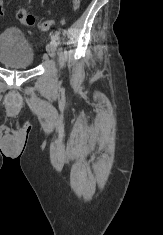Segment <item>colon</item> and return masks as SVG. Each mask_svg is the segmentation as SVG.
<instances>
[{
	"instance_id": "5ec220e1",
	"label": "colon",
	"mask_w": 163,
	"mask_h": 235,
	"mask_svg": "<svg viewBox=\"0 0 163 235\" xmlns=\"http://www.w3.org/2000/svg\"><path fill=\"white\" fill-rule=\"evenodd\" d=\"M81 4V0H71V5L73 10H78ZM4 13L3 5L0 1V16ZM16 17L18 20L30 27L37 26L39 29L47 31L53 25L52 20L37 21L36 18L30 14L26 9H19L16 12Z\"/></svg>"
}]
</instances>
